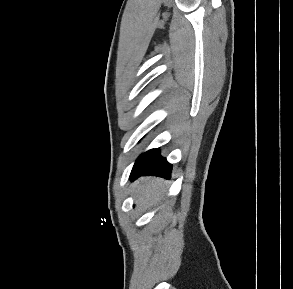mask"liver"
I'll return each mask as SVG.
<instances>
[{"label": "liver", "mask_w": 293, "mask_h": 289, "mask_svg": "<svg viewBox=\"0 0 293 289\" xmlns=\"http://www.w3.org/2000/svg\"><path fill=\"white\" fill-rule=\"evenodd\" d=\"M166 193L165 181L155 177H144L139 180L136 197L140 206H153L160 202ZM164 204L162 205V207Z\"/></svg>", "instance_id": "liver-1"}]
</instances>
